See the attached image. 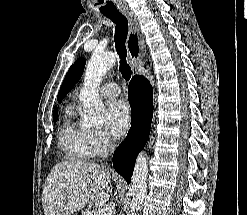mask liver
<instances>
[{
    "instance_id": "obj_1",
    "label": "liver",
    "mask_w": 247,
    "mask_h": 215,
    "mask_svg": "<svg viewBox=\"0 0 247 215\" xmlns=\"http://www.w3.org/2000/svg\"><path fill=\"white\" fill-rule=\"evenodd\" d=\"M109 170L94 163L60 162L48 175L42 194L44 215H71L87 203L103 206L112 192Z\"/></svg>"
}]
</instances>
